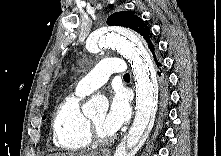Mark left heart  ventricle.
I'll use <instances>...</instances> for the list:
<instances>
[{"instance_id": "obj_1", "label": "left heart ventricle", "mask_w": 221, "mask_h": 156, "mask_svg": "<svg viewBox=\"0 0 221 156\" xmlns=\"http://www.w3.org/2000/svg\"><path fill=\"white\" fill-rule=\"evenodd\" d=\"M105 116H106V113L103 111V112H99V113L93 115L90 119L93 121V123L97 127L98 131L102 135L109 136L111 134L108 131H106L104 128Z\"/></svg>"}]
</instances>
